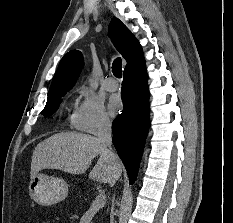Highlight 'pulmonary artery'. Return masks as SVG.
I'll return each mask as SVG.
<instances>
[{
    "instance_id": "e3ab8cb5",
    "label": "pulmonary artery",
    "mask_w": 233,
    "mask_h": 223,
    "mask_svg": "<svg viewBox=\"0 0 233 223\" xmlns=\"http://www.w3.org/2000/svg\"><path fill=\"white\" fill-rule=\"evenodd\" d=\"M105 88L109 92H114L117 89V85L113 78H106L105 79Z\"/></svg>"
}]
</instances>
